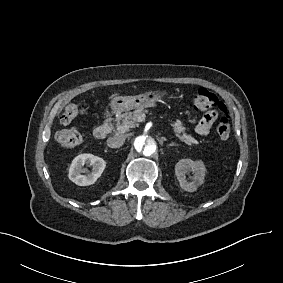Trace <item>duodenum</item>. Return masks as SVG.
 I'll use <instances>...</instances> for the list:
<instances>
[{
  "mask_svg": "<svg viewBox=\"0 0 283 283\" xmlns=\"http://www.w3.org/2000/svg\"><path fill=\"white\" fill-rule=\"evenodd\" d=\"M109 132H110V116L105 115L103 117L102 123L94 129L93 135L96 139L103 140L104 138L107 137Z\"/></svg>",
  "mask_w": 283,
  "mask_h": 283,
  "instance_id": "410a0bca",
  "label": "duodenum"
}]
</instances>
